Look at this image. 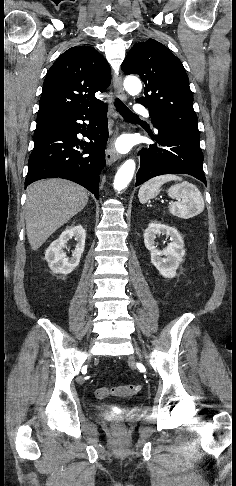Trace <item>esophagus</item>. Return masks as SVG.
<instances>
[{"mask_svg":"<svg viewBox=\"0 0 236 486\" xmlns=\"http://www.w3.org/2000/svg\"><path fill=\"white\" fill-rule=\"evenodd\" d=\"M113 85H114L116 96L119 99L125 101L127 99V96L125 94V91H124V88H123V85H122L121 76L115 75L113 77ZM119 158H120V156L118 155V153L113 148V140H111L110 144H109V146L106 150V163L108 165H111L112 163L116 162Z\"/></svg>","mask_w":236,"mask_h":486,"instance_id":"esophagus-1","label":"esophagus"}]
</instances>
